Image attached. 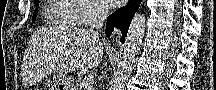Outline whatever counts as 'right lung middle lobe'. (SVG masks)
<instances>
[{
    "label": "right lung middle lobe",
    "mask_w": 216,
    "mask_h": 90,
    "mask_svg": "<svg viewBox=\"0 0 216 90\" xmlns=\"http://www.w3.org/2000/svg\"><path fill=\"white\" fill-rule=\"evenodd\" d=\"M38 3V0H35V4H37ZM35 17H36V14L34 13V15H33V21L35 20Z\"/></svg>",
    "instance_id": "right-lung-middle-lobe-1"
}]
</instances>
